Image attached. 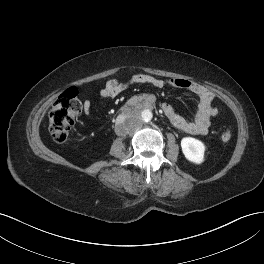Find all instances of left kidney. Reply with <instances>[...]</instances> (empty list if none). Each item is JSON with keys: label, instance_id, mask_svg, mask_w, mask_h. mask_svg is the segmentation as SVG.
I'll return each mask as SVG.
<instances>
[{"label": "left kidney", "instance_id": "left-kidney-1", "mask_svg": "<svg viewBox=\"0 0 264 264\" xmlns=\"http://www.w3.org/2000/svg\"><path fill=\"white\" fill-rule=\"evenodd\" d=\"M182 152L186 159L195 164H201L204 161L205 145L198 139L184 137L181 140Z\"/></svg>", "mask_w": 264, "mask_h": 264}]
</instances>
